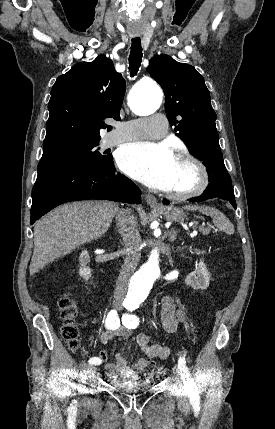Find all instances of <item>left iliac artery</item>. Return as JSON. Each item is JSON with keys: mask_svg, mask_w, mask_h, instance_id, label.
Returning <instances> with one entry per match:
<instances>
[{"mask_svg": "<svg viewBox=\"0 0 275 429\" xmlns=\"http://www.w3.org/2000/svg\"><path fill=\"white\" fill-rule=\"evenodd\" d=\"M127 309L129 311H133L136 308L133 306H128ZM122 324L129 329H134L139 325V318L136 315H132V314H125L122 317ZM178 369H179V374L181 375L183 381L189 386L190 388V393H189V397L191 399V403L193 406L197 407L199 405V395H198V390L195 387V385L193 384V381L190 377V373H189V369L186 365L185 362V358L182 356L179 358L178 360Z\"/></svg>", "mask_w": 275, "mask_h": 429, "instance_id": "1", "label": "left iliac artery"}]
</instances>
